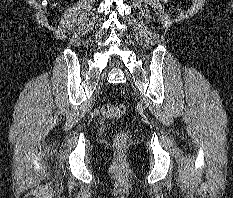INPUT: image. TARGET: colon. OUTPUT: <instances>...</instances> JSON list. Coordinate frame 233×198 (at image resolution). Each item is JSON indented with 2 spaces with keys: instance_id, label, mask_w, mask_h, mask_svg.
Returning <instances> with one entry per match:
<instances>
[{
  "instance_id": "1",
  "label": "colon",
  "mask_w": 233,
  "mask_h": 198,
  "mask_svg": "<svg viewBox=\"0 0 233 198\" xmlns=\"http://www.w3.org/2000/svg\"><path fill=\"white\" fill-rule=\"evenodd\" d=\"M125 112V105L118 104V105H111L106 104L101 108V113L105 118H117L123 115ZM128 133L125 131H121L116 134L114 138V145L117 149L122 150L126 147L128 142Z\"/></svg>"
}]
</instances>
